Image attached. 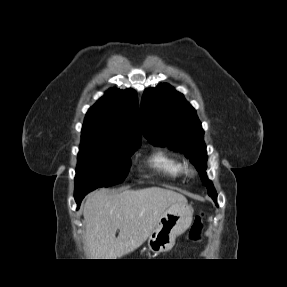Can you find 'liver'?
<instances>
[{
	"label": "liver",
	"mask_w": 287,
	"mask_h": 287,
	"mask_svg": "<svg viewBox=\"0 0 287 287\" xmlns=\"http://www.w3.org/2000/svg\"><path fill=\"white\" fill-rule=\"evenodd\" d=\"M185 201L182 194L159 187L92 192L83 207L88 256L117 259L133 252L147 240L169 206Z\"/></svg>",
	"instance_id": "6515ba94"
}]
</instances>
